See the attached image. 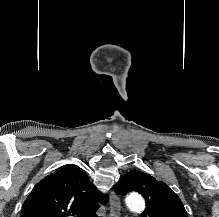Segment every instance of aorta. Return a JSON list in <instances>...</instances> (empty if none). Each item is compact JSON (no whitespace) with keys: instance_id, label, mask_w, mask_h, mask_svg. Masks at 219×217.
<instances>
[{"instance_id":"obj_1","label":"aorta","mask_w":219,"mask_h":217,"mask_svg":"<svg viewBox=\"0 0 219 217\" xmlns=\"http://www.w3.org/2000/svg\"><path fill=\"white\" fill-rule=\"evenodd\" d=\"M126 204L130 210L135 212H141L145 208V201L142 196L138 194L128 196L126 198Z\"/></svg>"}]
</instances>
